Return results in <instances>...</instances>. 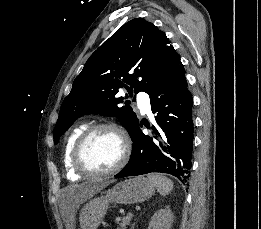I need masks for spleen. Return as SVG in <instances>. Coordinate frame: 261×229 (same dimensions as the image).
I'll list each match as a JSON object with an SVG mask.
<instances>
[{
  "label": "spleen",
  "mask_w": 261,
  "mask_h": 229,
  "mask_svg": "<svg viewBox=\"0 0 261 229\" xmlns=\"http://www.w3.org/2000/svg\"><path fill=\"white\" fill-rule=\"evenodd\" d=\"M148 179L153 181L157 187L158 193L165 197V195H169L173 189V183L167 177H163L162 173H149Z\"/></svg>",
  "instance_id": "3e777b00"
}]
</instances>
